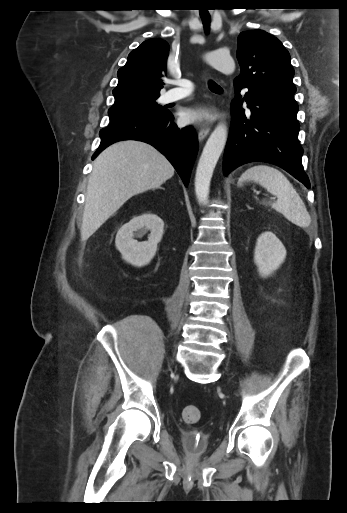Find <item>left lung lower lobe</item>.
<instances>
[{"label":"left lung lower lobe","instance_id":"1","mask_svg":"<svg viewBox=\"0 0 347 513\" xmlns=\"http://www.w3.org/2000/svg\"><path fill=\"white\" fill-rule=\"evenodd\" d=\"M231 102V128L224 154V175L238 166L262 161L275 164L310 188L302 167L303 149L298 141L300 125L294 92L279 89H253L236 85ZM242 88L248 92L242 98ZM247 103L251 114L242 108Z\"/></svg>","mask_w":347,"mask_h":513}]
</instances>
